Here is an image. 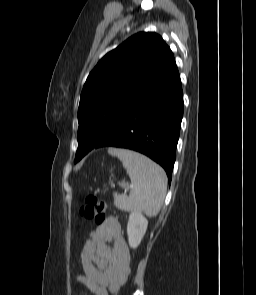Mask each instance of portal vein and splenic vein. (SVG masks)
I'll list each match as a JSON object with an SVG mask.
<instances>
[{
  "label": "portal vein and splenic vein",
  "instance_id": "obj_1",
  "mask_svg": "<svg viewBox=\"0 0 256 295\" xmlns=\"http://www.w3.org/2000/svg\"><path fill=\"white\" fill-rule=\"evenodd\" d=\"M119 185H120L121 187H126V184H124V183H119Z\"/></svg>",
  "mask_w": 256,
  "mask_h": 295
}]
</instances>
